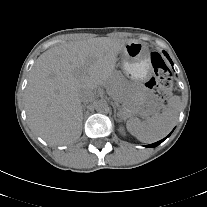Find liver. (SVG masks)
<instances>
[{
	"label": "liver",
	"mask_w": 207,
	"mask_h": 207,
	"mask_svg": "<svg viewBox=\"0 0 207 207\" xmlns=\"http://www.w3.org/2000/svg\"><path fill=\"white\" fill-rule=\"evenodd\" d=\"M131 42L97 37L67 42L41 54L25 91L31 129L51 145L79 139L83 119L80 92L106 86L114 75L119 52Z\"/></svg>",
	"instance_id": "liver-1"
}]
</instances>
